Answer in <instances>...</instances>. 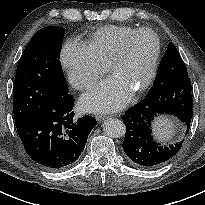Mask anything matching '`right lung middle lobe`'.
Returning a JSON list of instances; mask_svg holds the SVG:
<instances>
[{"label":"right lung middle lobe","mask_w":205,"mask_h":205,"mask_svg":"<svg viewBox=\"0 0 205 205\" xmlns=\"http://www.w3.org/2000/svg\"><path fill=\"white\" fill-rule=\"evenodd\" d=\"M65 29L57 26L39 30L23 51L13 87L16 126L41 106L68 94L59 54Z\"/></svg>","instance_id":"1"}]
</instances>
